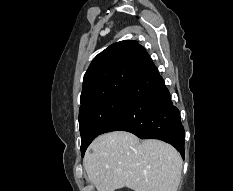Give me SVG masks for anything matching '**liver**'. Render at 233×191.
<instances>
[{"label":"liver","mask_w":233,"mask_h":191,"mask_svg":"<svg viewBox=\"0 0 233 191\" xmlns=\"http://www.w3.org/2000/svg\"><path fill=\"white\" fill-rule=\"evenodd\" d=\"M83 163L97 191L123 187L134 191H177L183 164L179 152L170 144L156 139L140 142L126 131L98 136Z\"/></svg>","instance_id":"liver-1"}]
</instances>
